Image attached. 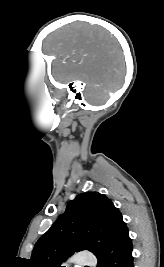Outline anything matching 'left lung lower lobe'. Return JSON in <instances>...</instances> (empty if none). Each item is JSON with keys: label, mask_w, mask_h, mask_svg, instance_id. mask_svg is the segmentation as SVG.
I'll return each mask as SVG.
<instances>
[{"label": "left lung lower lobe", "mask_w": 164, "mask_h": 267, "mask_svg": "<svg viewBox=\"0 0 164 267\" xmlns=\"http://www.w3.org/2000/svg\"><path fill=\"white\" fill-rule=\"evenodd\" d=\"M95 255L98 259V267H134L132 241L126 224L115 231Z\"/></svg>", "instance_id": "obj_1"}]
</instances>
